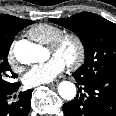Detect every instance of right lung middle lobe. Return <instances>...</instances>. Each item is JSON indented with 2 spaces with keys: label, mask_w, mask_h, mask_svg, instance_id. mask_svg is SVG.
Segmentation results:
<instances>
[{
  "label": "right lung middle lobe",
  "mask_w": 116,
  "mask_h": 116,
  "mask_svg": "<svg viewBox=\"0 0 116 116\" xmlns=\"http://www.w3.org/2000/svg\"><path fill=\"white\" fill-rule=\"evenodd\" d=\"M32 23V21L27 20L24 25L19 26L16 30H13L9 33L0 32V91H4L14 85V83L9 82L10 77H17V75L11 71L10 65L7 61V56L10 46L14 40V36L21 29Z\"/></svg>",
  "instance_id": "1"
}]
</instances>
